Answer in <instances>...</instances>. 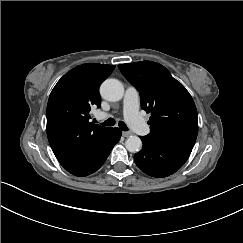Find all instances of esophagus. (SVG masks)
<instances>
[{"label": "esophagus", "instance_id": "esophagus-1", "mask_svg": "<svg viewBox=\"0 0 243 243\" xmlns=\"http://www.w3.org/2000/svg\"><path fill=\"white\" fill-rule=\"evenodd\" d=\"M132 134H133V133L130 132V131L122 132V136H123V137H128V136H130V135H132Z\"/></svg>", "mask_w": 243, "mask_h": 243}]
</instances>
